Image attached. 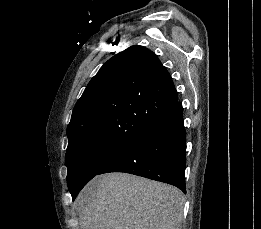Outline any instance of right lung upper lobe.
<instances>
[{"label": "right lung upper lobe", "mask_w": 261, "mask_h": 229, "mask_svg": "<svg viewBox=\"0 0 261 229\" xmlns=\"http://www.w3.org/2000/svg\"><path fill=\"white\" fill-rule=\"evenodd\" d=\"M178 102L158 57L134 45L109 59L77 101L68 145L82 141L131 145Z\"/></svg>", "instance_id": "obj_1"}]
</instances>
